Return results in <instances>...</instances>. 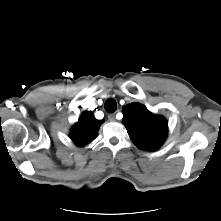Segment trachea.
<instances>
[{"instance_id": "obj_1", "label": "trachea", "mask_w": 221, "mask_h": 221, "mask_svg": "<svg viewBox=\"0 0 221 221\" xmlns=\"http://www.w3.org/2000/svg\"><path fill=\"white\" fill-rule=\"evenodd\" d=\"M104 108L108 113H113L117 110V103L113 98H109L106 100Z\"/></svg>"}]
</instances>
